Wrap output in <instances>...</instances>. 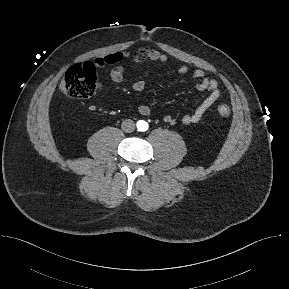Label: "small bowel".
<instances>
[{"instance_id":"c3829d8e","label":"small bowel","mask_w":289,"mask_h":289,"mask_svg":"<svg viewBox=\"0 0 289 289\" xmlns=\"http://www.w3.org/2000/svg\"><path fill=\"white\" fill-rule=\"evenodd\" d=\"M123 60H132L134 63H142L144 61L152 62H166L167 56L157 49L150 47H143L133 52L131 51H120L109 53L102 57H98L94 61V65L98 68H102L107 65H116L110 71L111 79L116 83H122L124 81L125 68L121 65H117ZM177 71L180 74H187L189 69L185 65L178 67ZM193 77L196 81V87L198 90L206 92L204 99L198 104L195 110L189 114H185L181 122L184 125H192L198 123L204 114L212 107L215 101L220 97L221 91L219 84L215 79L209 78L202 70H195ZM145 87V82L140 80L133 84V90L135 92H141ZM138 112L141 115L147 116L151 113V108L148 105L142 104L138 107ZM164 122L175 125L177 119L171 114H165L163 116Z\"/></svg>"}]
</instances>
